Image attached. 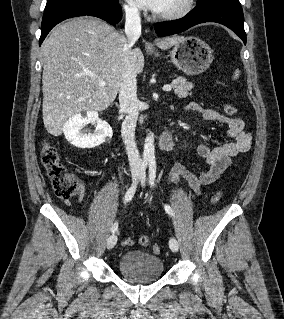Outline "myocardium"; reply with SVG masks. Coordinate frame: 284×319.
<instances>
[{
    "instance_id": "f54148a6",
    "label": "myocardium",
    "mask_w": 284,
    "mask_h": 319,
    "mask_svg": "<svg viewBox=\"0 0 284 319\" xmlns=\"http://www.w3.org/2000/svg\"><path fill=\"white\" fill-rule=\"evenodd\" d=\"M194 5L195 0H185L179 9L165 14L157 13L155 14V18L163 21L179 20L186 17L193 10Z\"/></svg>"
}]
</instances>
